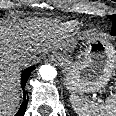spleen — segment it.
Instances as JSON below:
<instances>
[{
	"label": "spleen",
	"mask_w": 116,
	"mask_h": 116,
	"mask_svg": "<svg viewBox=\"0 0 116 116\" xmlns=\"http://www.w3.org/2000/svg\"><path fill=\"white\" fill-rule=\"evenodd\" d=\"M72 108L78 116H116V95L108 97L103 104L70 95Z\"/></svg>",
	"instance_id": "1"
}]
</instances>
